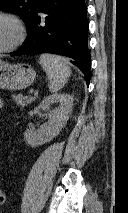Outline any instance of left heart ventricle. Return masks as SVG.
Wrapping results in <instances>:
<instances>
[{
	"label": "left heart ventricle",
	"instance_id": "left-heart-ventricle-1",
	"mask_svg": "<svg viewBox=\"0 0 128 213\" xmlns=\"http://www.w3.org/2000/svg\"><path fill=\"white\" fill-rule=\"evenodd\" d=\"M16 37V29L12 22L0 18V49L9 46Z\"/></svg>",
	"mask_w": 128,
	"mask_h": 213
}]
</instances>
